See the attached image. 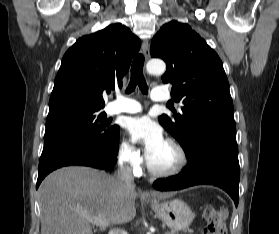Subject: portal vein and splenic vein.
I'll list each match as a JSON object with an SVG mask.
<instances>
[{
  "label": "portal vein and splenic vein",
  "mask_w": 279,
  "mask_h": 234,
  "mask_svg": "<svg viewBox=\"0 0 279 234\" xmlns=\"http://www.w3.org/2000/svg\"><path fill=\"white\" fill-rule=\"evenodd\" d=\"M84 217L88 219L92 224H95L99 227H105L109 224V221L104 216H93L85 214Z\"/></svg>",
  "instance_id": "obj_1"
}]
</instances>
